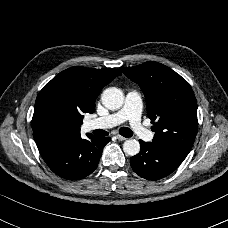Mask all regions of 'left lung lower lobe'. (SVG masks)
<instances>
[{
	"label": "left lung lower lobe",
	"mask_w": 228,
	"mask_h": 228,
	"mask_svg": "<svg viewBox=\"0 0 228 228\" xmlns=\"http://www.w3.org/2000/svg\"><path fill=\"white\" fill-rule=\"evenodd\" d=\"M140 142V153L130 158L135 173L147 180L162 179L171 174L183 162L188 153L168 150L153 142Z\"/></svg>",
	"instance_id": "obj_1"
}]
</instances>
